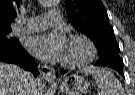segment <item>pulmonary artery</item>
<instances>
[{"label": "pulmonary artery", "instance_id": "e3ab8cb5", "mask_svg": "<svg viewBox=\"0 0 135 95\" xmlns=\"http://www.w3.org/2000/svg\"><path fill=\"white\" fill-rule=\"evenodd\" d=\"M61 20L60 12L57 9H52L44 15L26 19L24 24L19 20L18 24L13 28V32L16 34L36 32L50 25L59 24Z\"/></svg>", "mask_w": 135, "mask_h": 95}]
</instances>
